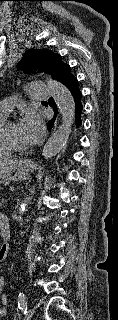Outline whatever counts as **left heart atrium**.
<instances>
[{"mask_svg": "<svg viewBox=\"0 0 118 320\" xmlns=\"http://www.w3.org/2000/svg\"><path fill=\"white\" fill-rule=\"evenodd\" d=\"M22 138L26 144H35L43 134V125L36 112H28L19 124Z\"/></svg>", "mask_w": 118, "mask_h": 320, "instance_id": "39dd6f15", "label": "left heart atrium"}]
</instances>
